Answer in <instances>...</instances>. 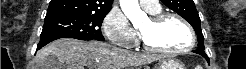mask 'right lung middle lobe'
<instances>
[{
  "label": "right lung middle lobe",
  "instance_id": "dd1d6c3e",
  "mask_svg": "<svg viewBox=\"0 0 246 69\" xmlns=\"http://www.w3.org/2000/svg\"><path fill=\"white\" fill-rule=\"evenodd\" d=\"M105 15H60L45 18L42 38L70 37L81 40H104L101 25Z\"/></svg>",
  "mask_w": 246,
  "mask_h": 69
}]
</instances>
